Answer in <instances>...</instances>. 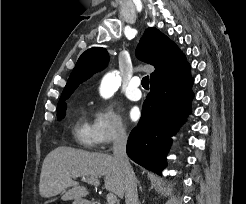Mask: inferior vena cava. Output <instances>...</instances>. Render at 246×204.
I'll return each mask as SVG.
<instances>
[{
    "instance_id": "602c4592",
    "label": "inferior vena cava",
    "mask_w": 246,
    "mask_h": 204,
    "mask_svg": "<svg viewBox=\"0 0 246 204\" xmlns=\"http://www.w3.org/2000/svg\"><path fill=\"white\" fill-rule=\"evenodd\" d=\"M126 143L127 135L124 129L118 130L113 144V158L119 163L124 174L125 203L139 204L137 180L128 160Z\"/></svg>"
}]
</instances>
